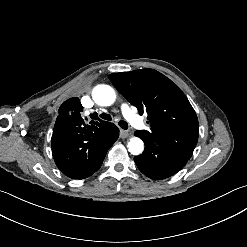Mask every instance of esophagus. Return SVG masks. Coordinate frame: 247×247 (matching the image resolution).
Listing matches in <instances>:
<instances>
[{
    "label": "esophagus",
    "instance_id": "obj_1",
    "mask_svg": "<svg viewBox=\"0 0 247 247\" xmlns=\"http://www.w3.org/2000/svg\"><path fill=\"white\" fill-rule=\"evenodd\" d=\"M129 132L127 130H120V138H126L128 137Z\"/></svg>",
    "mask_w": 247,
    "mask_h": 247
}]
</instances>
